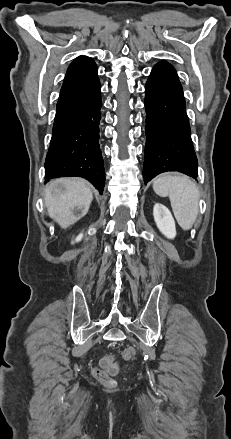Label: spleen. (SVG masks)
Returning a JSON list of instances; mask_svg holds the SVG:
<instances>
[{
    "label": "spleen",
    "mask_w": 231,
    "mask_h": 439,
    "mask_svg": "<svg viewBox=\"0 0 231 439\" xmlns=\"http://www.w3.org/2000/svg\"><path fill=\"white\" fill-rule=\"evenodd\" d=\"M153 189L159 196L170 198L177 222L184 230H189L199 211L196 184L186 176L162 175L154 181Z\"/></svg>",
    "instance_id": "1"
}]
</instances>
